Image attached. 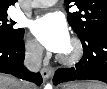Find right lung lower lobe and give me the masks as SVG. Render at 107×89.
<instances>
[{
  "label": "right lung lower lobe",
  "instance_id": "98d812e1",
  "mask_svg": "<svg viewBox=\"0 0 107 89\" xmlns=\"http://www.w3.org/2000/svg\"><path fill=\"white\" fill-rule=\"evenodd\" d=\"M24 34L15 42H6L0 39V72L12 74L41 85L40 73H30L23 65L24 61Z\"/></svg>",
  "mask_w": 107,
  "mask_h": 89
}]
</instances>
